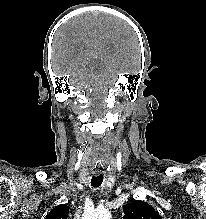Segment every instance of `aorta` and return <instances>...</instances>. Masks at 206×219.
Segmentation results:
<instances>
[{"instance_id": "aorta-1", "label": "aorta", "mask_w": 206, "mask_h": 219, "mask_svg": "<svg viewBox=\"0 0 206 219\" xmlns=\"http://www.w3.org/2000/svg\"><path fill=\"white\" fill-rule=\"evenodd\" d=\"M82 219H111V214L106 209H96L91 213H86Z\"/></svg>"}]
</instances>
